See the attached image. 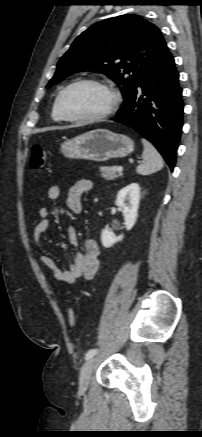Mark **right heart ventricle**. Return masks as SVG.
Instances as JSON below:
<instances>
[{
    "mask_svg": "<svg viewBox=\"0 0 202 437\" xmlns=\"http://www.w3.org/2000/svg\"><path fill=\"white\" fill-rule=\"evenodd\" d=\"M59 94H60V92L55 96L53 104H52V110H51L52 119L56 122L64 121V119L61 117V115L58 111V107H57V100H58Z\"/></svg>",
    "mask_w": 202,
    "mask_h": 437,
    "instance_id": "obj_1",
    "label": "right heart ventricle"
}]
</instances>
